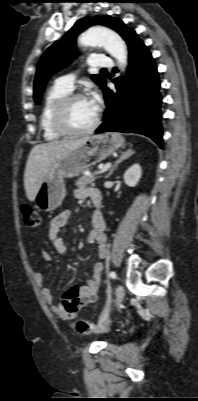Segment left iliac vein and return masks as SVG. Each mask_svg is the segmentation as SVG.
Returning <instances> with one entry per match:
<instances>
[{"instance_id": "obj_1", "label": "left iliac vein", "mask_w": 198, "mask_h": 401, "mask_svg": "<svg viewBox=\"0 0 198 401\" xmlns=\"http://www.w3.org/2000/svg\"><path fill=\"white\" fill-rule=\"evenodd\" d=\"M124 294H125V291H124L123 286L119 285L116 290L115 306L120 305V303L123 301Z\"/></svg>"}]
</instances>
